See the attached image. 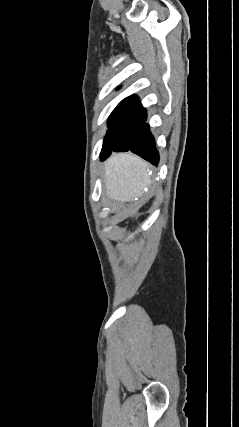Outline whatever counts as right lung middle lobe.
I'll use <instances>...</instances> for the list:
<instances>
[{
  "label": "right lung middle lobe",
  "mask_w": 239,
  "mask_h": 427,
  "mask_svg": "<svg viewBox=\"0 0 239 427\" xmlns=\"http://www.w3.org/2000/svg\"><path fill=\"white\" fill-rule=\"evenodd\" d=\"M146 120V111L138 99H124L111 113L107 134L100 158H107L112 151L127 149L136 132Z\"/></svg>",
  "instance_id": "1"
}]
</instances>
